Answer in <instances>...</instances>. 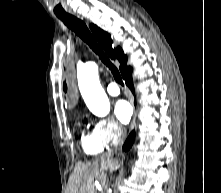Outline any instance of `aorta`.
<instances>
[{"mask_svg": "<svg viewBox=\"0 0 221 193\" xmlns=\"http://www.w3.org/2000/svg\"><path fill=\"white\" fill-rule=\"evenodd\" d=\"M78 85L88 109L98 117L110 112V102L103 90L95 62H87L77 71Z\"/></svg>", "mask_w": 221, "mask_h": 193, "instance_id": "obj_1", "label": "aorta"}]
</instances>
